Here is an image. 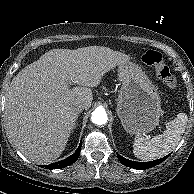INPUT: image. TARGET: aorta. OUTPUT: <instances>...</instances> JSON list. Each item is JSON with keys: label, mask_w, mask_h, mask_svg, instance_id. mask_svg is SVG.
Masks as SVG:
<instances>
[{"label": "aorta", "mask_w": 194, "mask_h": 194, "mask_svg": "<svg viewBox=\"0 0 194 194\" xmlns=\"http://www.w3.org/2000/svg\"><path fill=\"white\" fill-rule=\"evenodd\" d=\"M91 121L97 125H104L108 121V116L103 108H96L91 114Z\"/></svg>", "instance_id": "obj_1"}]
</instances>
